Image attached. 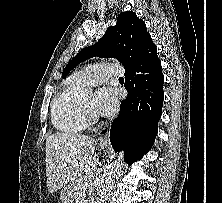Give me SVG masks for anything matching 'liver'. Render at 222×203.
Listing matches in <instances>:
<instances>
[{
	"label": "liver",
	"instance_id": "obj_1",
	"mask_svg": "<svg viewBox=\"0 0 222 203\" xmlns=\"http://www.w3.org/2000/svg\"><path fill=\"white\" fill-rule=\"evenodd\" d=\"M45 161L48 191L69 188L78 179L92 176L97 169L95 139L61 132L52 134L46 139Z\"/></svg>",
	"mask_w": 222,
	"mask_h": 203
}]
</instances>
